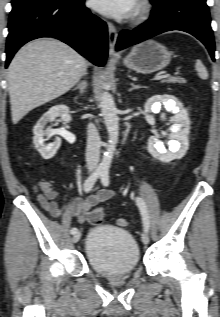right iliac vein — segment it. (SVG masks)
Returning a JSON list of instances; mask_svg holds the SVG:
<instances>
[{"mask_svg":"<svg viewBox=\"0 0 220 317\" xmlns=\"http://www.w3.org/2000/svg\"><path fill=\"white\" fill-rule=\"evenodd\" d=\"M81 238V232L77 231L74 235H73V238H72V241L74 243H77Z\"/></svg>","mask_w":220,"mask_h":317,"instance_id":"1","label":"right iliac vein"}]
</instances>
